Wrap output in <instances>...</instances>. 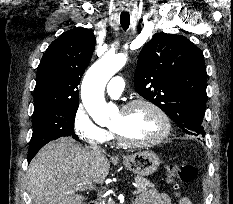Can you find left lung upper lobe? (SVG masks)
Wrapping results in <instances>:
<instances>
[{"label":"left lung upper lobe","mask_w":233,"mask_h":204,"mask_svg":"<svg viewBox=\"0 0 233 204\" xmlns=\"http://www.w3.org/2000/svg\"><path fill=\"white\" fill-rule=\"evenodd\" d=\"M206 66L189 39L156 33L143 47L134 76L136 91L162 109L185 133L204 137Z\"/></svg>","instance_id":"5c2ea615"}]
</instances>
